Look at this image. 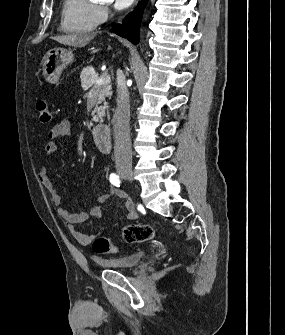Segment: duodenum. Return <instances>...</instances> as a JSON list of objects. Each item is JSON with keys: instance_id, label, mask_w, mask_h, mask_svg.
<instances>
[{"instance_id": "410a0bca", "label": "duodenum", "mask_w": 285, "mask_h": 335, "mask_svg": "<svg viewBox=\"0 0 285 335\" xmlns=\"http://www.w3.org/2000/svg\"><path fill=\"white\" fill-rule=\"evenodd\" d=\"M92 136L101 152L109 153L112 150V132L108 126L102 124L94 125Z\"/></svg>"}]
</instances>
